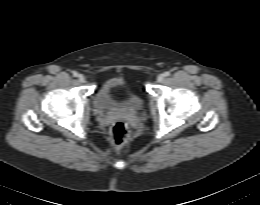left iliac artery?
Returning a JSON list of instances; mask_svg holds the SVG:
<instances>
[{"label": "left iliac artery", "mask_w": 260, "mask_h": 205, "mask_svg": "<svg viewBox=\"0 0 260 205\" xmlns=\"http://www.w3.org/2000/svg\"><path fill=\"white\" fill-rule=\"evenodd\" d=\"M169 75H170V72H168V71L164 73V76H169Z\"/></svg>", "instance_id": "obj_1"}]
</instances>
